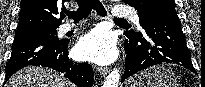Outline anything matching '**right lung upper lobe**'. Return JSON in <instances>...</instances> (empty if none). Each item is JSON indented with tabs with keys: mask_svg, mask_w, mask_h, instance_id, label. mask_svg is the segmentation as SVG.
Masks as SVG:
<instances>
[{
	"mask_svg": "<svg viewBox=\"0 0 205 87\" xmlns=\"http://www.w3.org/2000/svg\"><path fill=\"white\" fill-rule=\"evenodd\" d=\"M65 0H22L19 15V26L16 34L57 29L64 17L56 15ZM63 10V9H62Z\"/></svg>",
	"mask_w": 205,
	"mask_h": 87,
	"instance_id": "cb5924a9",
	"label": "right lung upper lobe"
}]
</instances>
